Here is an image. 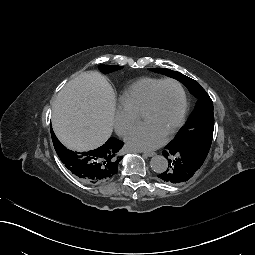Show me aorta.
Masks as SVG:
<instances>
[{"instance_id":"aorta-1","label":"aorta","mask_w":255,"mask_h":255,"mask_svg":"<svg viewBox=\"0 0 255 255\" xmlns=\"http://www.w3.org/2000/svg\"><path fill=\"white\" fill-rule=\"evenodd\" d=\"M151 168L156 173H163L168 167L167 159L162 155H156L151 159Z\"/></svg>"}]
</instances>
